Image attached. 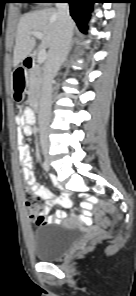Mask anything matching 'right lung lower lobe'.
Listing matches in <instances>:
<instances>
[{
	"instance_id": "1",
	"label": "right lung lower lobe",
	"mask_w": 136,
	"mask_h": 296,
	"mask_svg": "<svg viewBox=\"0 0 136 296\" xmlns=\"http://www.w3.org/2000/svg\"><path fill=\"white\" fill-rule=\"evenodd\" d=\"M61 1V0H56ZM70 4V14L74 21L77 23L79 29L86 33L89 20V14L92 10L94 0H62Z\"/></svg>"
}]
</instances>
